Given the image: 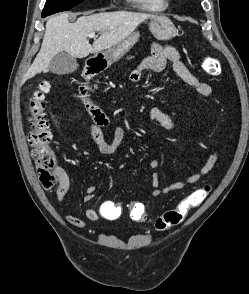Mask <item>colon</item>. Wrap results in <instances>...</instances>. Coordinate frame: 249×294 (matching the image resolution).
I'll use <instances>...</instances> for the list:
<instances>
[{"label":"colon","instance_id":"1","mask_svg":"<svg viewBox=\"0 0 249 294\" xmlns=\"http://www.w3.org/2000/svg\"><path fill=\"white\" fill-rule=\"evenodd\" d=\"M203 70L210 76H219L221 69L219 64L210 57L202 60ZM51 85L48 81H43L35 89L28 101V120L30 124L29 143L32 146V156L37 169L40 183L45 188H53L60 184L62 171L57 168L56 154L51 147L52 134L45 113L46 94L50 91ZM211 185L194 190L183 198L176 207L165 211L152 221L153 227L158 231H165L171 227L182 223L188 212L199 206L211 192ZM121 215V209L115 204L111 210V216L117 218ZM129 216L133 221L145 222L148 214L144 204L132 202L129 207Z\"/></svg>","mask_w":249,"mask_h":294}]
</instances>
